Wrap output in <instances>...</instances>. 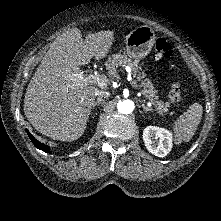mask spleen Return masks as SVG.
Here are the masks:
<instances>
[{"mask_svg": "<svg viewBox=\"0 0 221 221\" xmlns=\"http://www.w3.org/2000/svg\"><path fill=\"white\" fill-rule=\"evenodd\" d=\"M202 114V105L195 102L173 123L176 144L191 140L201 121Z\"/></svg>", "mask_w": 221, "mask_h": 221, "instance_id": "1", "label": "spleen"}]
</instances>
